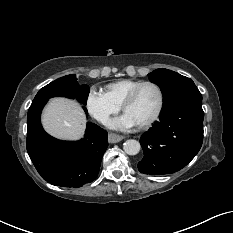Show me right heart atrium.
Returning a JSON list of instances; mask_svg holds the SVG:
<instances>
[{"instance_id":"right-heart-atrium-1","label":"right heart atrium","mask_w":233,"mask_h":233,"mask_svg":"<svg viewBox=\"0 0 233 233\" xmlns=\"http://www.w3.org/2000/svg\"><path fill=\"white\" fill-rule=\"evenodd\" d=\"M88 112L99 122L107 123L110 117L120 111V105L113 102L106 92L90 88L86 97Z\"/></svg>"}]
</instances>
